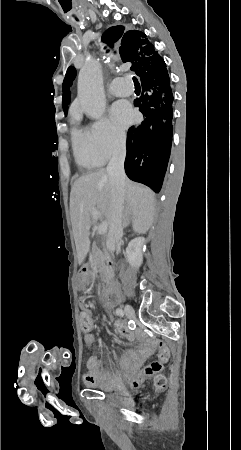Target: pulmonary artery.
<instances>
[{
    "label": "pulmonary artery",
    "instance_id": "1",
    "mask_svg": "<svg viewBox=\"0 0 241 450\" xmlns=\"http://www.w3.org/2000/svg\"><path fill=\"white\" fill-rule=\"evenodd\" d=\"M110 81L114 83V89H110V92L116 97H124L125 93L130 92L132 80L130 78H121L119 74H112L110 76Z\"/></svg>",
    "mask_w": 241,
    "mask_h": 450
}]
</instances>
